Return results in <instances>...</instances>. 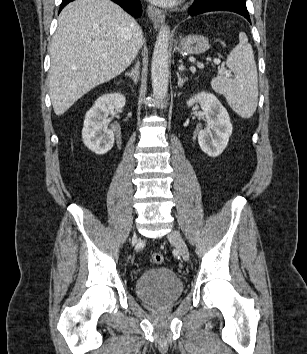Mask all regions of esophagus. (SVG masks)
I'll return each mask as SVG.
<instances>
[{
	"mask_svg": "<svg viewBox=\"0 0 307 354\" xmlns=\"http://www.w3.org/2000/svg\"><path fill=\"white\" fill-rule=\"evenodd\" d=\"M147 14L149 18L153 21L154 28L157 29L163 24L165 20V13L163 10L158 9L154 6L148 5Z\"/></svg>",
	"mask_w": 307,
	"mask_h": 354,
	"instance_id": "esophagus-1",
	"label": "esophagus"
}]
</instances>
